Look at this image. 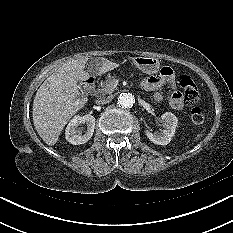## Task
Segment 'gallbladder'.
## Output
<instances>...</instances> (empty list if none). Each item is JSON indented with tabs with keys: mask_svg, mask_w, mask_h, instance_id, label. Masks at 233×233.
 <instances>
[{
	"mask_svg": "<svg viewBox=\"0 0 233 233\" xmlns=\"http://www.w3.org/2000/svg\"><path fill=\"white\" fill-rule=\"evenodd\" d=\"M98 60H100V58H94V59H91L90 61H89V63H87V66L86 67H88V71H92L93 70V67H94V65H95V63H96V61H98Z\"/></svg>",
	"mask_w": 233,
	"mask_h": 233,
	"instance_id": "bac80fb5",
	"label": "gallbladder"
}]
</instances>
